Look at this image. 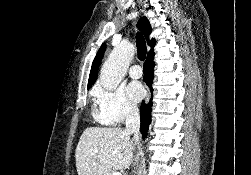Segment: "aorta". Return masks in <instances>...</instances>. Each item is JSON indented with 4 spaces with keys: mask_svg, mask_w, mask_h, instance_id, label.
<instances>
[{
    "mask_svg": "<svg viewBox=\"0 0 251 175\" xmlns=\"http://www.w3.org/2000/svg\"><path fill=\"white\" fill-rule=\"evenodd\" d=\"M134 54L135 48L130 42H127V44L121 42V44L113 48L108 60L102 66L99 78L104 89L113 91V89L118 88L127 68L130 66L131 60H133Z\"/></svg>",
    "mask_w": 251,
    "mask_h": 175,
    "instance_id": "1",
    "label": "aorta"
}]
</instances>
